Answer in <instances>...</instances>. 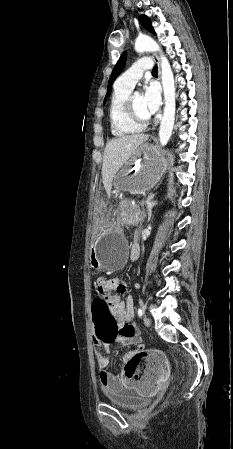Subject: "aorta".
<instances>
[{
  "label": "aorta",
  "instance_id": "1",
  "mask_svg": "<svg viewBox=\"0 0 233 449\" xmlns=\"http://www.w3.org/2000/svg\"><path fill=\"white\" fill-rule=\"evenodd\" d=\"M137 52H160L161 78L164 90V114L159 128V140L165 146L172 134L175 121V84L174 76L168 59L162 53L158 43L148 36H139L135 41Z\"/></svg>",
  "mask_w": 233,
  "mask_h": 449
}]
</instances>
